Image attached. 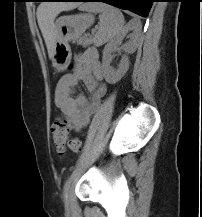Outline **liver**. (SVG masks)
Instances as JSON below:
<instances>
[{
	"instance_id": "obj_1",
	"label": "liver",
	"mask_w": 202,
	"mask_h": 217,
	"mask_svg": "<svg viewBox=\"0 0 202 217\" xmlns=\"http://www.w3.org/2000/svg\"><path fill=\"white\" fill-rule=\"evenodd\" d=\"M77 3L66 2H42L37 8V20L43 38L45 40L49 58L53 59L54 44L56 40L55 18L62 12L72 10Z\"/></svg>"
}]
</instances>
